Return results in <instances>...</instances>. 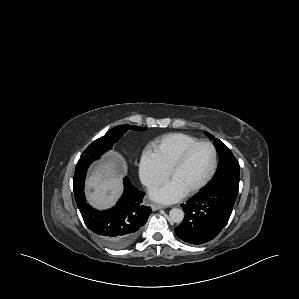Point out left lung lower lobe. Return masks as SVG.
I'll list each match as a JSON object with an SVG mask.
<instances>
[{
	"mask_svg": "<svg viewBox=\"0 0 299 299\" xmlns=\"http://www.w3.org/2000/svg\"><path fill=\"white\" fill-rule=\"evenodd\" d=\"M236 197L237 193L227 188L203 189L181 205L185 218L175 233L196 245L214 239L226 225Z\"/></svg>",
	"mask_w": 299,
	"mask_h": 299,
	"instance_id": "0a47b994",
	"label": "left lung lower lobe"
}]
</instances>
